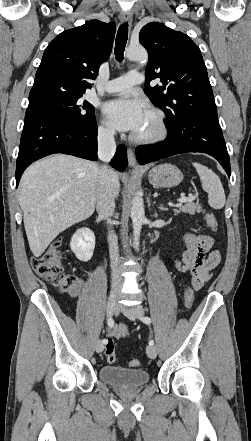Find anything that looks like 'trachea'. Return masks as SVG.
Masks as SVG:
<instances>
[{
	"mask_svg": "<svg viewBox=\"0 0 251 441\" xmlns=\"http://www.w3.org/2000/svg\"><path fill=\"white\" fill-rule=\"evenodd\" d=\"M128 39V23H123L117 32L116 42H115V56L117 61L121 62L123 60V53L126 47Z\"/></svg>",
	"mask_w": 251,
	"mask_h": 441,
	"instance_id": "3493384b",
	"label": "trachea"
}]
</instances>
